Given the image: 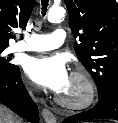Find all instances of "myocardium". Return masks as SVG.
<instances>
[{
	"label": "myocardium",
	"instance_id": "obj_1",
	"mask_svg": "<svg viewBox=\"0 0 118 123\" xmlns=\"http://www.w3.org/2000/svg\"><path fill=\"white\" fill-rule=\"evenodd\" d=\"M70 78L82 83L84 87L83 96L79 100L72 101L66 99L59 93L55 97L56 102L62 107L70 110H82L91 106L97 95L96 86L91 76L85 71L77 70L71 74Z\"/></svg>",
	"mask_w": 118,
	"mask_h": 123
}]
</instances>
